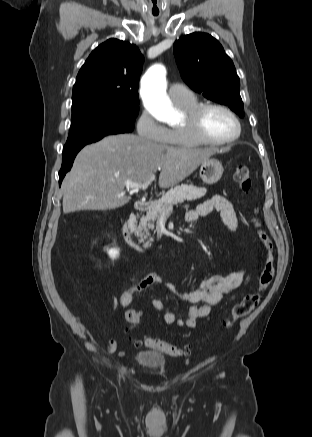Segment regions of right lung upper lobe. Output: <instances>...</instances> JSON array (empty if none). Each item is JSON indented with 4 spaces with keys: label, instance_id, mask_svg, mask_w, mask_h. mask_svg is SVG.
<instances>
[{
    "label": "right lung upper lobe",
    "instance_id": "1",
    "mask_svg": "<svg viewBox=\"0 0 312 437\" xmlns=\"http://www.w3.org/2000/svg\"><path fill=\"white\" fill-rule=\"evenodd\" d=\"M143 61L133 44L118 39L102 43L77 75L72 107L89 103L139 104L138 80Z\"/></svg>",
    "mask_w": 312,
    "mask_h": 437
}]
</instances>
